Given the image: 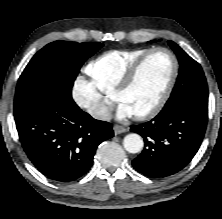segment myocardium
Here are the masks:
<instances>
[{
	"label": "myocardium",
	"instance_id": "1",
	"mask_svg": "<svg viewBox=\"0 0 222 219\" xmlns=\"http://www.w3.org/2000/svg\"><path fill=\"white\" fill-rule=\"evenodd\" d=\"M157 52H165L170 56V58L172 60L171 74H170L169 80L167 82V85H166L161 97L157 101V103L153 107L148 109L147 111L134 115L137 120H146V119H150V118L156 116L163 109L165 104L167 103V101L172 93V90L174 88V85L176 83V79H177L178 71H179V62H178V59H177V56L175 55V53L166 47H154V48L147 50L130 65V67L126 70V72L123 74L122 78L120 79L117 87L113 91L114 98L117 101H119V97L132 86V84L138 74V71H139L140 67L142 66V64L144 63V61L150 55L157 53Z\"/></svg>",
	"mask_w": 222,
	"mask_h": 219
}]
</instances>
